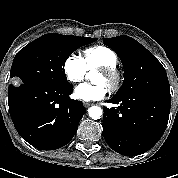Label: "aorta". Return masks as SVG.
<instances>
[{
	"mask_svg": "<svg viewBox=\"0 0 178 178\" xmlns=\"http://www.w3.org/2000/svg\"><path fill=\"white\" fill-rule=\"evenodd\" d=\"M88 114L92 119L97 120L102 116L103 110L99 106H92L88 109Z\"/></svg>",
	"mask_w": 178,
	"mask_h": 178,
	"instance_id": "obj_1",
	"label": "aorta"
}]
</instances>
